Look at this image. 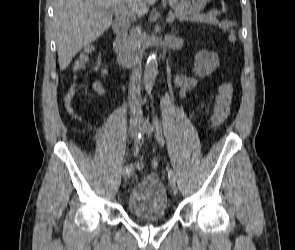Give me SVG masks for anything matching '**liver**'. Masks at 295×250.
<instances>
[{"instance_id":"liver-1","label":"liver","mask_w":295,"mask_h":250,"mask_svg":"<svg viewBox=\"0 0 295 250\" xmlns=\"http://www.w3.org/2000/svg\"><path fill=\"white\" fill-rule=\"evenodd\" d=\"M156 0H55L54 32L61 70L84 47L98 39L112 24L108 10L128 4L139 15L148 13Z\"/></svg>"}]
</instances>
